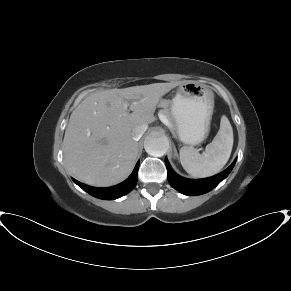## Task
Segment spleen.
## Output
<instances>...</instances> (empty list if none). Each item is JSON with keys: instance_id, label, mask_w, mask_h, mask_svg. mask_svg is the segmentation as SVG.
Segmentation results:
<instances>
[{"instance_id": "3e777b00", "label": "spleen", "mask_w": 291, "mask_h": 291, "mask_svg": "<svg viewBox=\"0 0 291 291\" xmlns=\"http://www.w3.org/2000/svg\"><path fill=\"white\" fill-rule=\"evenodd\" d=\"M233 147V129L228 118L223 115L220 129L205 152L183 146L180 149V162L187 173L196 178L213 176L221 171L228 162Z\"/></svg>"}]
</instances>
